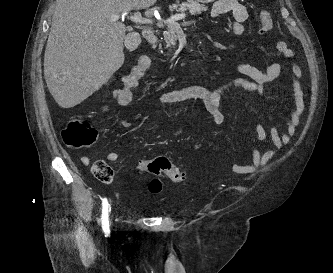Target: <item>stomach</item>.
Segmentation results:
<instances>
[{"instance_id": "stomach-1", "label": "stomach", "mask_w": 333, "mask_h": 273, "mask_svg": "<svg viewBox=\"0 0 333 273\" xmlns=\"http://www.w3.org/2000/svg\"><path fill=\"white\" fill-rule=\"evenodd\" d=\"M214 0H196V2H200V3H210L213 2Z\"/></svg>"}]
</instances>
